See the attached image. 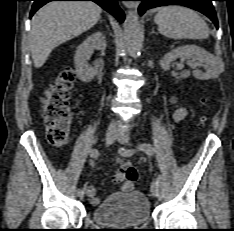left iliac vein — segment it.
I'll return each mask as SVG.
<instances>
[{"label": "left iliac vein", "instance_id": "4c4485c4", "mask_svg": "<svg viewBox=\"0 0 234 231\" xmlns=\"http://www.w3.org/2000/svg\"><path fill=\"white\" fill-rule=\"evenodd\" d=\"M117 140L121 144H127L129 141V137L126 136L124 133H120L117 137ZM150 190L153 197H158V183L156 179L152 181Z\"/></svg>", "mask_w": 234, "mask_h": 231}]
</instances>
